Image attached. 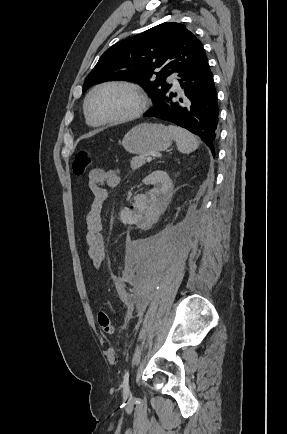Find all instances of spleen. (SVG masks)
Listing matches in <instances>:
<instances>
[{"label": "spleen", "mask_w": 287, "mask_h": 434, "mask_svg": "<svg viewBox=\"0 0 287 434\" xmlns=\"http://www.w3.org/2000/svg\"><path fill=\"white\" fill-rule=\"evenodd\" d=\"M168 130L176 141L177 148L181 153L189 154L198 148L199 142L197 138L189 131L174 125H169Z\"/></svg>", "instance_id": "3e777b00"}]
</instances>
